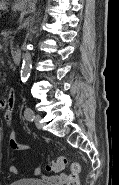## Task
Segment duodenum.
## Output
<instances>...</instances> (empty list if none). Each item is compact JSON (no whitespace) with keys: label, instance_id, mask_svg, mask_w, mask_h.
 <instances>
[{"label":"duodenum","instance_id":"410a0bca","mask_svg":"<svg viewBox=\"0 0 119 185\" xmlns=\"http://www.w3.org/2000/svg\"><path fill=\"white\" fill-rule=\"evenodd\" d=\"M12 59L16 65H19L21 63L22 53L19 49H14L12 51Z\"/></svg>","mask_w":119,"mask_h":185}]
</instances>
